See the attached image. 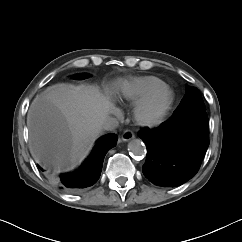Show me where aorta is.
<instances>
[{
  "label": "aorta",
  "instance_id": "aorta-1",
  "mask_svg": "<svg viewBox=\"0 0 242 242\" xmlns=\"http://www.w3.org/2000/svg\"><path fill=\"white\" fill-rule=\"evenodd\" d=\"M128 150L134 156H144L146 149L144 143L139 139H133L128 143Z\"/></svg>",
  "mask_w": 242,
  "mask_h": 242
}]
</instances>
